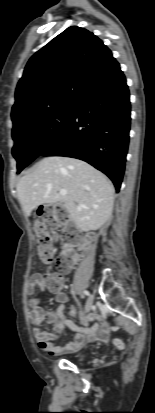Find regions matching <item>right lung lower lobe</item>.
<instances>
[{
  "label": "right lung lower lobe",
  "instance_id": "98d812e1",
  "mask_svg": "<svg viewBox=\"0 0 155 413\" xmlns=\"http://www.w3.org/2000/svg\"><path fill=\"white\" fill-rule=\"evenodd\" d=\"M130 101L119 68L76 103L62 134L40 156L84 160L105 173L118 192L129 144Z\"/></svg>",
  "mask_w": 155,
  "mask_h": 413
}]
</instances>
